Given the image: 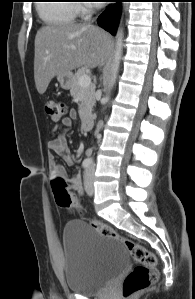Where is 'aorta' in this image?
Segmentation results:
<instances>
[{
  "label": "aorta",
  "instance_id": "762f6f07",
  "mask_svg": "<svg viewBox=\"0 0 195 299\" xmlns=\"http://www.w3.org/2000/svg\"><path fill=\"white\" fill-rule=\"evenodd\" d=\"M123 39H124L123 29L119 28L116 34L115 50H114L113 61L111 65V77L109 80V90L112 89V87L115 85L118 76L119 66L123 54ZM108 100H109V96H106L104 101L108 102Z\"/></svg>",
  "mask_w": 195,
  "mask_h": 299
}]
</instances>
